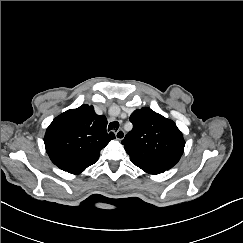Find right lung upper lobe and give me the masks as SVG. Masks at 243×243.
I'll use <instances>...</instances> for the list:
<instances>
[{
  "mask_svg": "<svg viewBox=\"0 0 243 243\" xmlns=\"http://www.w3.org/2000/svg\"><path fill=\"white\" fill-rule=\"evenodd\" d=\"M107 119L93 106L83 104L57 116L46 130L44 143L51 161L60 169L80 174L94 164L114 133L106 131Z\"/></svg>",
  "mask_w": 243,
  "mask_h": 243,
  "instance_id": "cb5924a9",
  "label": "right lung upper lobe"
}]
</instances>
